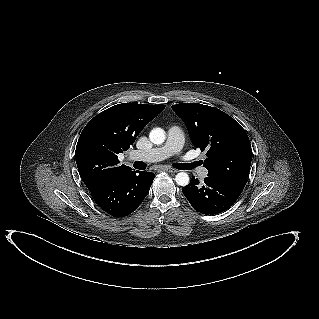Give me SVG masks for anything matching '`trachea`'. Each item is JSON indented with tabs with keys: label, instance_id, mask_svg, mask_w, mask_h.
<instances>
[{
	"label": "trachea",
	"instance_id": "trachea-1",
	"mask_svg": "<svg viewBox=\"0 0 319 319\" xmlns=\"http://www.w3.org/2000/svg\"><path fill=\"white\" fill-rule=\"evenodd\" d=\"M195 164H183V163H177L175 164V166L178 168V169H181V170H190L194 167ZM134 168L136 169H140V170H143L146 168V164L142 161H136L134 162L133 164Z\"/></svg>",
	"mask_w": 319,
	"mask_h": 319
}]
</instances>
